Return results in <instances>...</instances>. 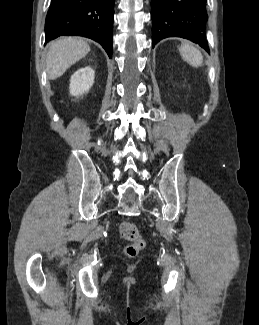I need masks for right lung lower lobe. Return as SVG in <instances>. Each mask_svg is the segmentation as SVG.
I'll list each match as a JSON object with an SVG mask.
<instances>
[{
  "mask_svg": "<svg viewBox=\"0 0 259 325\" xmlns=\"http://www.w3.org/2000/svg\"><path fill=\"white\" fill-rule=\"evenodd\" d=\"M114 0H52L46 17V42L77 35L100 43L112 57Z\"/></svg>",
  "mask_w": 259,
  "mask_h": 325,
  "instance_id": "obj_1",
  "label": "right lung lower lobe"
}]
</instances>
